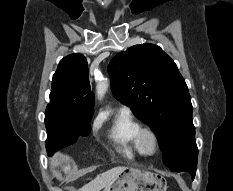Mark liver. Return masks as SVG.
<instances>
[{"mask_svg": "<svg viewBox=\"0 0 233 191\" xmlns=\"http://www.w3.org/2000/svg\"><path fill=\"white\" fill-rule=\"evenodd\" d=\"M62 160V157L55 155L51 158L50 164L52 167H54L59 165ZM125 169L126 167L119 166L99 174L91 182L83 186L78 191H101L103 188L112 184ZM69 170L70 165L68 164L64 167V171L66 173Z\"/></svg>", "mask_w": 233, "mask_h": 191, "instance_id": "6515ba94", "label": "liver"}]
</instances>
